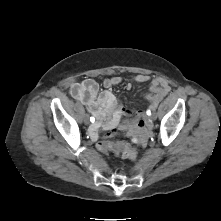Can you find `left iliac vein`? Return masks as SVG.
I'll use <instances>...</instances> for the list:
<instances>
[{
  "label": "left iliac vein",
  "instance_id": "1",
  "mask_svg": "<svg viewBox=\"0 0 221 221\" xmlns=\"http://www.w3.org/2000/svg\"><path fill=\"white\" fill-rule=\"evenodd\" d=\"M156 118H157L156 113H153V114L151 115V119H152V120H155Z\"/></svg>",
  "mask_w": 221,
  "mask_h": 221
}]
</instances>
